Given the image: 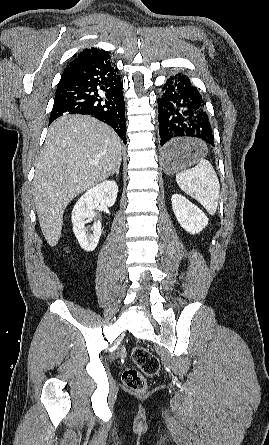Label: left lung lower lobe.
<instances>
[{"label": "left lung lower lobe", "instance_id": "left-lung-lower-lobe-1", "mask_svg": "<svg viewBox=\"0 0 269 445\" xmlns=\"http://www.w3.org/2000/svg\"><path fill=\"white\" fill-rule=\"evenodd\" d=\"M157 102L163 153H176L184 138H194L214 146L205 102L188 77L178 73L167 79Z\"/></svg>", "mask_w": 269, "mask_h": 445}]
</instances>
